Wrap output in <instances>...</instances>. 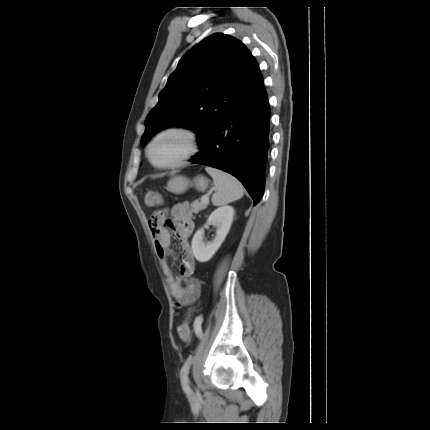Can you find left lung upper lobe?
I'll return each instance as SVG.
<instances>
[{
  "label": "left lung upper lobe",
  "instance_id": "5c2ea615",
  "mask_svg": "<svg viewBox=\"0 0 430 430\" xmlns=\"http://www.w3.org/2000/svg\"><path fill=\"white\" fill-rule=\"evenodd\" d=\"M257 70V61L238 39L220 33L205 38L168 78L146 118L141 144L173 125L198 135L212 129L233 103L255 89Z\"/></svg>",
  "mask_w": 430,
  "mask_h": 430
}]
</instances>
